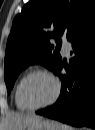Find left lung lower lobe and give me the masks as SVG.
Here are the masks:
<instances>
[{
	"label": "left lung lower lobe",
	"instance_id": "0a47b994",
	"mask_svg": "<svg viewBox=\"0 0 95 130\" xmlns=\"http://www.w3.org/2000/svg\"><path fill=\"white\" fill-rule=\"evenodd\" d=\"M73 56L62 61L55 73L62 87L57 102L37 114L76 127H95V13L89 15L70 37ZM65 68L67 75L61 72Z\"/></svg>",
	"mask_w": 95,
	"mask_h": 130
}]
</instances>
